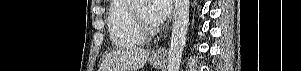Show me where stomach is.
<instances>
[{"label":"stomach","mask_w":301,"mask_h":71,"mask_svg":"<svg viewBox=\"0 0 301 71\" xmlns=\"http://www.w3.org/2000/svg\"><path fill=\"white\" fill-rule=\"evenodd\" d=\"M150 62H151V64L153 65V67H155V68H159V67H161V65L163 64V61H162V60H157V59H154V58H152V59L150 60Z\"/></svg>","instance_id":"0dacf381"}]
</instances>
